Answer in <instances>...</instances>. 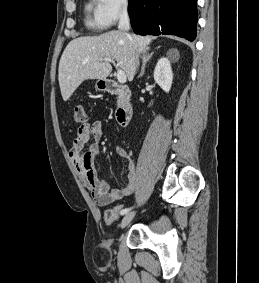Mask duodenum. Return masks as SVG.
Masks as SVG:
<instances>
[{
	"instance_id": "obj_1",
	"label": "duodenum",
	"mask_w": 259,
	"mask_h": 283,
	"mask_svg": "<svg viewBox=\"0 0 259 283\" xmlns=\"http://www.w3.org/2000/svg\"><path fill=\"white\" fill-rule=\"evenodd\" d=\"M107 93L119 96V105L116 111V119L122 126H126L131 120L133 107L130 102L131 90L113 80H107L104 84Z\"/></svg>"
}]
</instances>
